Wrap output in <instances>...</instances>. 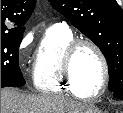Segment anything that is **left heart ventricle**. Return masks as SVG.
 I'll use <instances>...</instances> for the list:
<instances>
[{"instance_id": "left-heart-ventricle-1", "label": "left heart ventricle", "mask_w": 123, "mask_h": 113, "mask_svg": "<svg viewBox=\"0 0 123 113\" xmlns=\"http://www.w3.org/2000/svg\"><path fill=\"white\" fill-rule=\"evenodd\" d=\"M73 76L80 92L94 93L101 85L103 68L96 52L83 47L73 62Z\"/></svg>"}]
</instances>
